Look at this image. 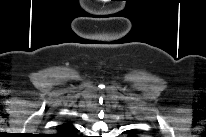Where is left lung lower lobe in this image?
I'll list each match as a JSON object with an SVG mask.
<instances>
[{
    "mask_svg": "<svg viewBox=\"0 0 206 137\" xmlns=\"http://www.w3.org/2000/svg\"><path fill=\"white\" fill-rule=\"evenodd\" d=\"M131 133H132V134H134L135 132H134V131H132Z\"/></svg>",
    "mask_w": 206,
    "mask_h": 137,
    "instance_id": "left-lung-lower-lobe-1",
    "label": "left lung lower lobe"
}]
</instances>
